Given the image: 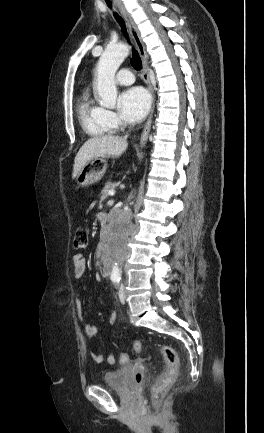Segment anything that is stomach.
I'll return each instance as SVG.
<instances>
[{
	"instance_id": "1",
	"label": "stomach",
	"mask_w": 264,
	"mask_h": 433,
	"mask_svg": "<svg viewBox=\"0 0 264 433\" xmlns=\"http://www.w3.org/2000/svg\"><path fill=\"white\" fill-rule=\"evenodd\" d=\"M107 169V161L104 158L95 157L82 167L76 177L79 187H86L102 179Z\"/></svg>"
}]
</instances>
